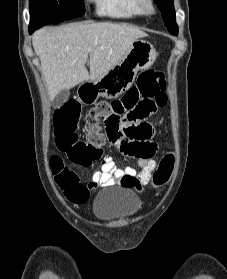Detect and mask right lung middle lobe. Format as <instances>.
Returning <instances> with one entry per match:
<instances>
[{"label": "right lung middle lobe", "instance_id": "1", "mask_svg": "<svg viewBox=\"0 0 227 279\" xmlns=\"http://www.w3.org/2000/svg\"><path fill=\"white\" fill-rule=\"evenodd\" d=\"M30 25L44 26L81 16L83 0H29Z\"/></svg>", "mask_w": 227, "mask_h": 279}]
</instances>
